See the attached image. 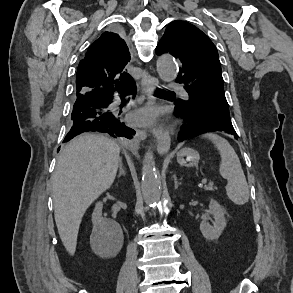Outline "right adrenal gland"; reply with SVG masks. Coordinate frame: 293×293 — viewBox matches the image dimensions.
Here are the masks:
<instances>
[{"label": "right adrenal gland", "instance_id": "right-adrenal-gland-1", "mask_svg": "<svg viewBox=\"0 0 293 293\" xmlns=\"http://www.w3.org/2000/svg\"><path fill=\"white\" fill-rule=\"evenodd\" d=\"M122 175H125V171H124V168H123L122 160L120 159L118 178H120Z\"/></svg>", "mask_w": 293, "mask_h": 293}]
</instances>
